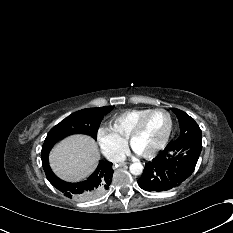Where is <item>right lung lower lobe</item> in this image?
<instances>
[{"label":"right lung lower lobe","mask_w":233,"mask_h":233,"mask_svg":"<svg viewBox=\"0 0 233 233\" xmlns=\"http://www.w3.org/2000/svg\"><path fill=\"white\" fill-rule=\"evenodd\" d=\"M42 166L49 182L68 198L81 200L93 199L103 194L112 181V163L100 161L95 172L87 180L79 183H69L59 179L51 170L48 155L42 156Z\"/></svg>","instance_id":"1"}]
</instances>
